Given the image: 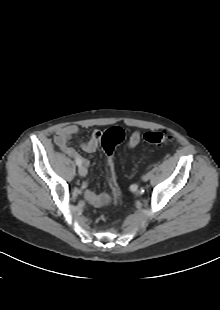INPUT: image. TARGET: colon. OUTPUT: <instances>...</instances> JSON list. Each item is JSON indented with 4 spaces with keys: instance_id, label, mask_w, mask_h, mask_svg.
Returning <instances> with one entry per match:
<instances>
[{
    "instance_id": "1",
    "label": "colon",
    "mask_w": 220,
    "mask_h": 310,
    "mask_svg": "<svg viewBox=\"0 0 220 310\" xmlns=\"http://www.w3.org/2000/svg\"><path fill=\"white\" fill-rule=\"evenodd\" d=\"M124 139L125 132L120 127H111L104 131L100 137V144L106 156L107 172L113 198L117 202L120 200V189L115 172L114 150ZM170 139L171 137L166 131H148L144 134L145 142L153 145L166 144Z\"/></svg>"
}]
</instances>
